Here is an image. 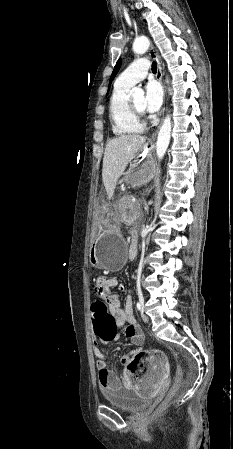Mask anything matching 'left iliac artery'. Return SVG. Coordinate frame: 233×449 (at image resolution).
<instances>
[{
  "mask_svg": "<svg viewBox=\"0 0 233 449\" xmlns=\"http://www.w3.org/2000/svg\"><path fill=\"white\" fill-rule=\"evenodd\" d=\"M138 297H139V301L137 302V308L138 310H142L143 309V303H144V299H143V295L141 291H138Z\"/></svg>",
  "mask_w": 233,
  "mask_h": 449,
  "instance_id": "1",
  "label": "left iliac artery"
}]
</instances>
